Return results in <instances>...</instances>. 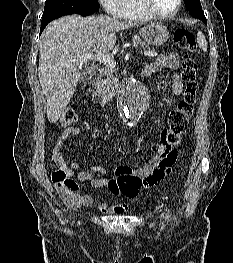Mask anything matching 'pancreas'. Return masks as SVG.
I'll use <instances>...</instances> for the list:
<instances>
[{
    "label": "pancreas",
    "instance_id": "cf45deb5",
    "mask_svg": "<svg viewBox=\"0 0 233 263\" xmlns=\"http://www.w3.org/2000/svg\"><path fill=\"white\" fill-rule=\"evenodd\" d=\"M133 42L136 47L139 46L145 49H150L149 46L146 45V43L141 39H136ZM98 71L99 74L93 83L95 90H92V97L93 99L99 97L101 102H104L105 100L109 99L115 91L114 84L111 83V80L113 79L114 68L110 67L109 65H104Z\"/></svg>",
    "mask_w": 233,
    "mask_h": 263
}]
</instances>
